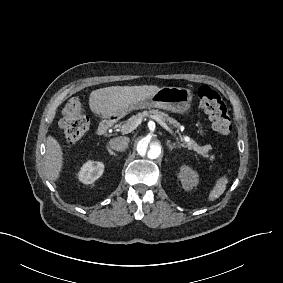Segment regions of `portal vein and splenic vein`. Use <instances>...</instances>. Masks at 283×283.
I'll return each mask as SVG.
<instances>
[{
	"mask_svg": "<svg viewBox=\"0 0 283 283\" xmlns=\"http://www.w3.org/2000/svg\"><path fill=\"white\" fill-rule=\"evenodd\" d=\"M153 119L155 121H157L160 126H162L169 134H171L175 139H178L177 134L167 125V123H165L162 119H160L159 117H153ZM139 124V122H137L134 126L131 127H124L122 126V130L124 131L125 134L131 132L132 130H134L136 128V126Z\"/></svg>",
	"mask_w": 283,
	"mask_h": 283,
	"instance_id": "1",
	"label": "portal vein and splenic vein"
}]
</instances>
